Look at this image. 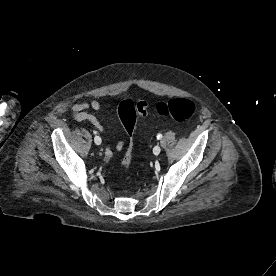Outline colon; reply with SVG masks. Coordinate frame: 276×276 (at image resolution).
<instances>
[{
    "label": "colon",
    "mask_w": 276,
    "mask_h": 276,
    "mask_svg": "<svg viewBox=\"0 0 276 276\" xmlns=\"http://www.w3.org/2000/svg\"><path fill=\"white\" fill-rule=\"evenodd\" d=\"M195 111V104L187 98H172L168 101H161L155 105V112L162 116H170L177 121L188 120ZM117 114L129 135L128 151L122 161V167L127 168L131 159L132 137L137 116L146 117L148 115V103L140 101L133 103L131 100H123L118 104Z\"/></svg>",
    "instance_id": "obj_1"
}]
</instances>
